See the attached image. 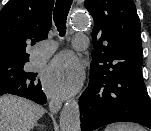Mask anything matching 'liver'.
<instances>
[{"label": "liver", "mask_w": 151, "mask_h": 131, "mask_svg": "<svg viewBox=\"0 0 151 131\" xmlns=\"http://www.w3.org/2000/svg\"><path fill=\"white\" fill-rule=\"evenodd\" d=\"M44 108L22 97H0V131H31Z\"/></svg>", "instance_id": "1"}]
</instances>
